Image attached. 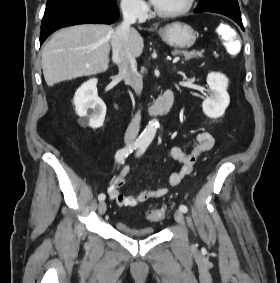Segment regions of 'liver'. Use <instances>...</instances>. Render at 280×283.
Masks as SVG:
<instances>
[{
  "label": "liver",
  "mask_w": 280,
  "mask_h": 283,
  "mask_svg": "<svg viewBox=\"0 0 280 283\" xmlns=\"http://www.w3.org/2000/svg\"><path fill=\"white\" fill-rule=\"evenodd\" d=\"M114 30L109 25H76L57 32L45 45L42 69L48 86L106 71ZM129 46L135 57H140L144 41L131 28Z\"/></svg>",
  "instance_id": "obj_1"
}]
</instances>
